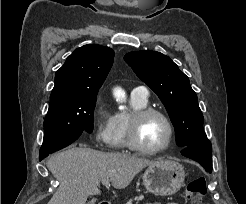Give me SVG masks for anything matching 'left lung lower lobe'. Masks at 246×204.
<instances>
[{
    "label": "left lung lower lobe",
    "instance_id": "obj_1",
    "mask_svg": "<svg viewBox=\"0 0 246 204\" xmlns=\"http://www.w3.org/2000/svg\"><path fill=\"white\" fill-rule=\"evenodd\" d=\"M181 154L197 161L208 172H212V146L209 140L187 146Z\"/></svg>",
    "mask_w": 246,
    "mask_h": 204
}]
</instances>
